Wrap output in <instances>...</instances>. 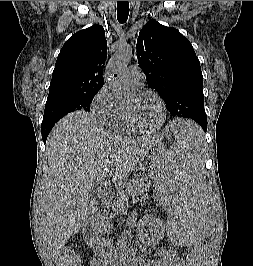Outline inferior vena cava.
<instances>
[{
    "instance_id": "602c4592",
    "label": "inferior vena cava",
    "mask_w": 253,
    "mask_h": 266,
    "mask_svg": "<svg viewBox=\"0 0 253 266\" xmlns=\"http://www.w3.org/2000/svg\"><path fill=\"white\" fill-rule=\"evenodd\" d=\"M100 218H102V216H101L100 214H97V215L94 217L93 221H94V220H95V221H98Z\"/></svg>"
}]
</instances>
